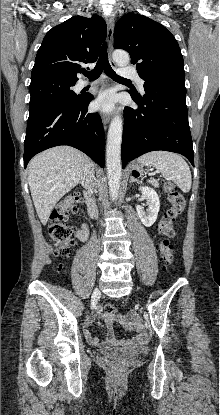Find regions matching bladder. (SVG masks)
<instances>
[{
    "label": "bladder",
    "instance_id": "31cf9c89",
    "mask_svg": "<svg viewBox=\"0 0 220 415\" xmlns=\"http://www.w3.org/2000/svg\"><path fill=\"white\" fill-rule=\"evenodd\" d=\"M147 350L146 345H139V346H131V347H124V348H113L109 349L104 352V355L107 358L114 359V360H129L134 357H137Z\"/></svg>",
    "mask_w": 220,
    "mask_h": 415
}]
</instances>
